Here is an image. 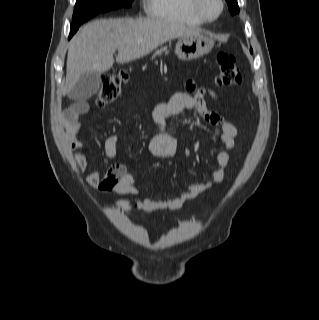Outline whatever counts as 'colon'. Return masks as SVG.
<instances>
[{"label": "colon", "mask_w": 319, "mask_h": 320, "mask_svg": "<svg viewBox=\"0 0 319 320\" xmlns=\"http://www.w3.org/2000/svg\"><path fill=\"white\" fill-rule=\"evenodd\" d=\"M219 73L216 83L220 86H234L241 82V73L235 64L232 55L225 52L217 54ZM129 81V74L126 70L115 71L102 79L101 89L98 95V103L101 105L114 102L121 94L123 86ZM123 166L115 164L112 166L111 174L121 171Z\"/></svg>", "instance_id": "5ec220e1"}]
</instances>
